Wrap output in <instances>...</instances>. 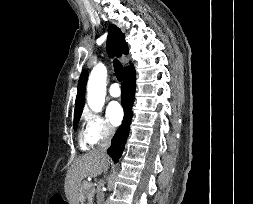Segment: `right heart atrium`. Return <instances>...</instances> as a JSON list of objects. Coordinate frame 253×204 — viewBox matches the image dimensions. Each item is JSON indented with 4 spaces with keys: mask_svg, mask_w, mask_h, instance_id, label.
Instances as JSON below:
<instances>
[{
    "mask_svg": "<svg viewBox=\"0 0 253 204\" xmlns=\"http://www.w3.org/2000/svg\"><path fill=\"white\" fill-rule=\"evenodd\" d=\"M84 130L90 145L109 140L114 135V128L101 114L86 110L83 114Z\"/></svg>",
    "mask_w": 253,
    "mask_h": 204,
    "instance_id": "d8ad5b80",
    "label": "right heart atrium"
}]
</instances>
